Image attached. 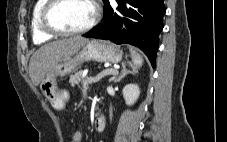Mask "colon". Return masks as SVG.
<instances>
[{"instance_id": "obj_1", "label": "colon", "mask_w": 227, "mask_h": 142, "mask_svg": "<svg viewBox=\"0 0 227 142\" xmlns=\"http://www.w3.org/2000/svg\"><path fill=\"white\" fill-rule=\"evenodd\" d=\"M83 134L80 129H75L70 137V142H82Z\"/></svg>"}]
</instances>
